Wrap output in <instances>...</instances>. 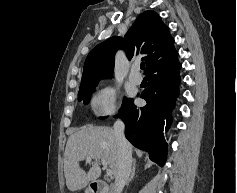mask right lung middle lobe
Returning a JSON list of instances; mask_svg holds the SVG:
<instances>
[{"label":"right lung middle lobe","instance_id":"obj_1","mask_svg":"<svg viewBox=\"0 0 237 193\" xmlns=\"http://www.w3.org/2000/svg\"><path fill=\"white\" fill-rule=\"evenodd\" d=\"M95 87H96V85H93V86H90L88 88H84V89L79 90L78 100L79 101L83 100L84 104L88 103L90 98H91V94L93 93ZM128 101H129V99L125 98V100L123 102V105H122V108L126 105V103ZM101 119H104V117H101Z\"/></svg>","mask_w":237,"mask_h":193}]
</instances>
